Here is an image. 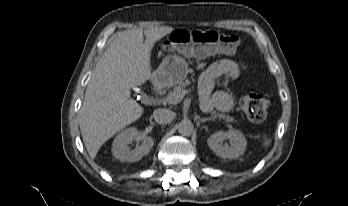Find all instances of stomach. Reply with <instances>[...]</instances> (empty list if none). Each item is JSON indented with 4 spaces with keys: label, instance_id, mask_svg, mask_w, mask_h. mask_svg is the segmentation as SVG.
I'll use <instances>...</instances> for the list:
<instances>
[{
    "label": "stomach",
    "instance_id": "1",
    "mask_svg": "<svg viewBox=\"0 0 348 206\" xmlns=\"http://www.w3.org/2000/svg\"><path fill=\"white\" fill-rule=\"evenodd\" d=\"M205 41L203 39H193L191 36L181 43V55L176 53L168 54L154 72L156 80L166 86L178 84L182 82L188 73V63L186 59L191 57L202 58L203 53L200 52L204 48Z\"/></svg>",
    "mask_w": 348,
    "mask_h": 206
}]
</instances>
